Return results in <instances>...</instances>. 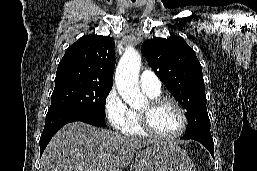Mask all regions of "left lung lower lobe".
Returning a JSON list of instances; mask_svg holds the SVG:
<instances>
[{
  "label": "left lung lower lobe",
  "instance_id": "1",
  "mask_svg": "<svg viewBox=\"0 0 257 171\" xmlns=\"http://www.w3.org/2000/svg\"><path fill=\"white\" fill-rule=\"evenodd\" d=\"M182 139L184 140L192 139L200 142L209 150L211 155L214 157V142L212 137L193 135V136H183Z\"/></svg>",
  "mask_w": 257,
  "mask_h": 171
}]
</instances>
